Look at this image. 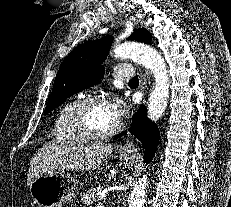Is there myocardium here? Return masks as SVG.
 <instances>
[{
	"label": "myocardium",
	"mask_w": 231,
	"mask_h": 207,
	"mask_svg": "<svg viewBox=\"0 0 231 207\" xmlns=\"http://www.w3.org/2000/svg\"><path fill=\"white\" fill-rule=\"evenodd\" d=\"M97 103H106V100L101 95H97V94L87 95L78 99L71 109L70 112L71 126L74 129V131L77 133V135L83 140L93 141V142L103 141L113 137L120 130L121 125L119 121H116L115 125L110 130L103 133H94L87 127V125L83 120V112L89 105L97 104Z\"/></svg>",
	"instance_id": "f54148a6"
}]
</instances>
